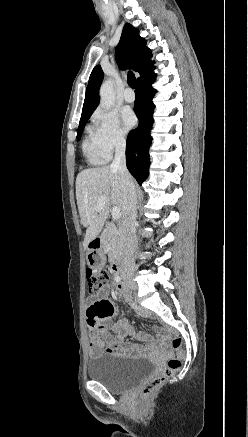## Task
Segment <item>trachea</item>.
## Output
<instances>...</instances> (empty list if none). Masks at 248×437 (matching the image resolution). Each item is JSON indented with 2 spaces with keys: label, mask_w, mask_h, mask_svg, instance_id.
I'll use <instances>...</instances> for the list:
<instances>
[{
  "label": "trachea",
  "mask_w": 248,
  "mask_h": 437,
  "mask_svg": "<svg viewBox=\"0 0 248 437\" xmlns=\"http://www.w3.org/2000/svg\"><path fill=\"white\" fill-rule=\"evenodd\" d=\"M127 82L131 88H135L136 85V78L133 72H128Z\"/></svg>",
  "instance_id": "obj_1"
}]
</instances>
